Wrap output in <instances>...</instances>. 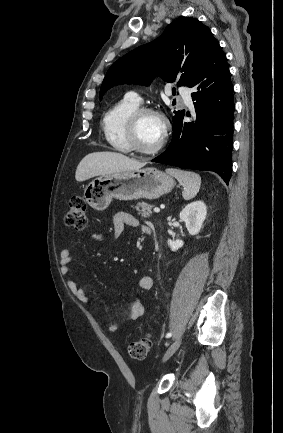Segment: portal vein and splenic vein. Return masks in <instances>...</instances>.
<instances>
[{"mask_svg":"<svg viewBox=\"0 0 283 433\" xmlns=\"http://www.w3.org/2000/svg\"><path fill=\"white\" fill-rule=\"evenodd\" d=\"M154 212H160V208H158V206H155V208H153Z\"/></svg>","mask_w":283,"mask_h":433,"instance_id":"obj_1","label":"portal vein and splenic vein"}]
</instances>
